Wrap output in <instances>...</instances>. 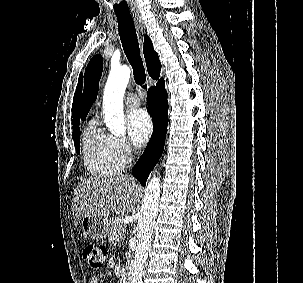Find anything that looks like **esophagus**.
<instances>
[{
    "label": "esophagus",
    "mask_w": 303,
    "mask_h": 283,
    "mask_svg": "<svg viewBox=\"0 0 303 283\" xmlns=\"http://www.w3.org/2000/svg\"><path fill=\"white\" fill-rule=\"evenodd\" d=\"M134 22H135V25H136L138 31L140 32V34H143L145 27H144V23H143L141 17L135 16Z\"/></svg>",
    "instance_id": "esophagus-1"
}]
</instances>
